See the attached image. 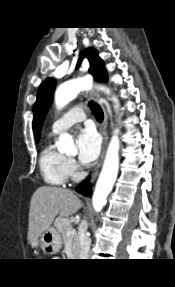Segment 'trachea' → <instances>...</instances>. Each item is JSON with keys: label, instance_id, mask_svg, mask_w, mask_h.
Masks as SVG:
<instances>
[{"label": "trachea", "instance_id": "3493384b", "mask_svg": "<svg viewBox=\"0 0 175 287\" xmlns=\"http://www.w3.org/2000/svg\"><path fill=\"white\" fill-rule=\"evenodd\" d=\"M89 107L92 111V114L96 118V120L98 122H102L103 118H104V114H103L101 107L97 103H95L94 101L89 102Z\"/></svg>", "mask_w": 175, "mask_h": 287}]
</instances>
